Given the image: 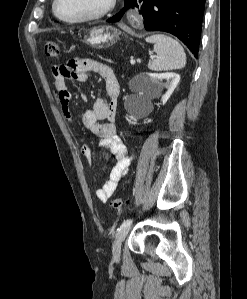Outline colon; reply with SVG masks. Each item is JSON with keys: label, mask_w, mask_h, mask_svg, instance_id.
I'll list each match as a JSON object with an SVG mask.
<instances>
[{"label": "colon", "mask_w": 247, "mask_h": 299, "mask_svg": "<svg viewBox=\"0 0 247 299\" xmlns=\"http://www.w3.org/2000/svg\"><path fill=\"white\" fill-rule=\"evenodd\" d=\"M44 54L46 57H49V58H57L59 56L58 43L54 40L46 41L44 44ZM128 204H129L128 200H126L124 198H120V197H117V198L113 199V201H112V206L116 210H121L124 207H126Z\"/></svg>", "instance_id": "5ec220e1"}]
</instances>
